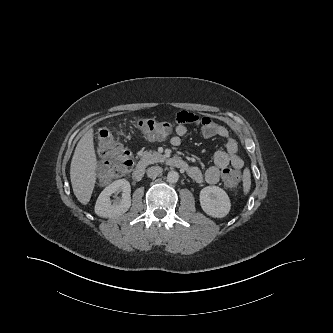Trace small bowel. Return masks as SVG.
I'll use <instances>...</instances> for the list:
<instances>
[{"instance_id": "small-bowel-1", "label": "small bowel", "mask_w": 333, "mask_h": 333, "mask_svg": "<svg viewBox=\"0 0 333 333\" xmlns=\"http://www.w3.org/2000/svg\"><path fill=\"white\" fill-rule=\"evenodd\" d=\"M176 135L170 139V143L177 147L182 142V137L188 133L186 124H196L200 126L201 134L204 138L220 137L225 140V149L217 150L214 154V165L205 172L199 168L191 166L188 174L197 182L216 184L223 176L224 170L232 167L239 171L243 168L244 162L238 153L236 141L229 135L228 130L208 117H200L193 113L181 112L177 116Z\"/></svg>"}]
</instances>
